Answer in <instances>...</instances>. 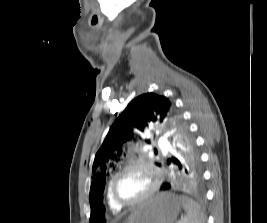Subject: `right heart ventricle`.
<instances>
[{"label": "right heart ventricle", "instance_id": "e07e8e85", "mask_svg": "<svg viewBox=\"0 0 267 223\" xmlns=\"http://www.w3.org/2000/svg\"><path fill=\"white\" fill-rule=\"evenodd\" d=\"M106 200H107V204L109 206V208L113 211V212H119L120 208L119 206H117L114 201L112 200L110 193H109V189H107L106 192Z\"/></svg>", "mask_w": 267, "mask_h": 223}]
</instances>
